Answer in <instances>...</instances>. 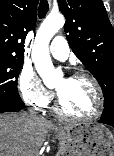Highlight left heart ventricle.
Masks as SVG:
<instances>
[{"label": "left heart ventricle", "instance_id": "b2bd125f", "mask_svg": "<svg viewBox=\"0 0 114 156\" xmlns=\"http://www.w3.org/2000/svg\"><path fill=\"white\" fill-rule=\"evenodd\" d=\"M55 88L67 113L74 116H88L96 110V92L87 78H61Z\"/></svg>", "mask_w": 114, "mask_h": 156}]
</instances>
